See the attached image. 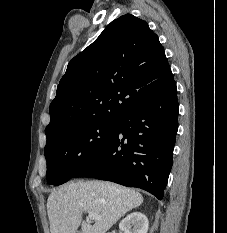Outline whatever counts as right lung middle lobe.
Here are the masks:
<instances>
[{
  "instance_id": "1",
  "label": "right lung middle lobe",
  "mask_w": 227,
  "mask_h": 233,
  "mask_svg": "<svg viewBox=\"0 0 227 233\" xmlns=\"http://www.w3.org/2000/svg\"><path fill=\"white\" fill-rule=\"evenodd\" d=\"M119 120L89 122L55 136L46 142V178L61 185L89 163L115 133Z\"/></svg>"
}]
</instances>
